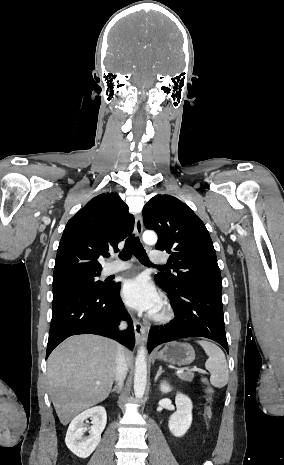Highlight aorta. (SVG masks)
<instances>
[{"instance_id":"aorta-1","label":"aorta","mask_w":284,"mask_h":465,"mask_svg":"<svg viewBox=\"0 0 284 465\" xmlns=\"http://www.w3.org/2000/svg\"><path fill=\"white\" fill-rule=\"evenodd\" d=\"M143 241L146 244L152 245L157 242V236L153 231H145L143 233ZM147 382V361L146 349L144 346L140 347L137 353L135 362L134 374V394L137 399H141L144 395Z\"/></svg>"}]
</instances>
